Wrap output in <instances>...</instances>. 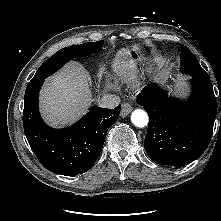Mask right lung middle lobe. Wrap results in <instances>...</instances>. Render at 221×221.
Here are the masks:
<instances>
[{"label":"right lung middle lobe","mask_w":221,"mask_h":221,"mask_svg":"<svg viewBox=\"0 0 221 221\" xmlns=\"http://www.w3.org/2000/svg\"><path fill=\"white\" fill-rule=\"evenodd\" d=\"M103 43L104 41L90 42L81 45L68 46L59 50L40 66L31 81L45 79L56 72L70 59L83 57L98 52L103 46Z\"/></svg>","instance_id":"dd1d6c3e"}]
</instances>
